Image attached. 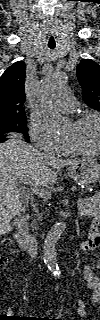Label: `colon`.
<instances>
[{
    "label": "colon",
    "instance_id": "obj_1",
    "mask_svg": "<svg viewBox=\"0 0 100 320\" xmlns=\"http://www.w3.org/2000/svg\"><path fill=\"white\" fill-rule=\"evenodd\" d=\"M3 246H7L9 244L8 239H3L2 241ZM100 244V234L98 233L97 229L94 228L91 232V235L87 241V247L95 248ZM5 263V259H1L0 264L3 265Z\"/></svg>",
    "mask_w": 100,
    "mask_h": 320
}]
</instances>
